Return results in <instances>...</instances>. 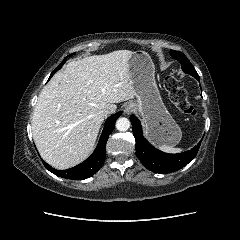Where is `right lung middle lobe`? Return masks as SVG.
Returning <instances> with one entry per match:
<instances>
[{
	"label": "right lung middle lobe",
	"mask_w": 240,
	"mask_h": 240,
	"mask_svg": "<svg viewBox=\"0 0 240 240\" xmlns=\"http://www.w3.org/2000/svg\"><path fill=\"white\" fill-rule=\"evenodd\" d=\"M71 55H72V54H71ZM66 59H67V57L64 58V60L62 61V63L52 72L51 76H52L57 70H59V69L62 67V65L65 63ZM51 76H50V78H51Z\"/></svg>",
	"instance_id": "obj_1"
}]
</instances>
